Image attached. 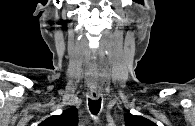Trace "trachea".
Here are the masks:
<instances>
[{
    "instance_id": "3493384b",
    "label": "trachea",
    "mask_w": 195,
    "mask_h": 126,
    "mask_svg": "<svg viewBox=\"0 0 195 126\" xmlns=\"http://www.w3.org/2000/svg\"><path fill=\"white\" fill-rule=\"evenodd\" d=\"M101 108V99L92 100L89 99V109L92 114L96 115Z\"/></svg>"
}]
</instances>
